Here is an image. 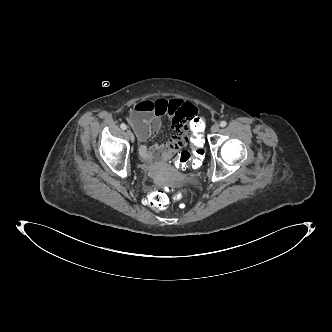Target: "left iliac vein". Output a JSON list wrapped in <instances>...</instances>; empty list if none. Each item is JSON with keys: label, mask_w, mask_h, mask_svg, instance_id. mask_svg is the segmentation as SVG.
Masks as SVG:
<instances>
[{"label": "left iliac vein", "mask_w": 332, "mask_h": 332, "mask_svg": "<svg viewBox=\"0 0 332 332\" xmlns=\"http://www.w3.org/2000/svg\"><path fill=\"white\" fill-rule=\"evenodd\" d=\"M219 129H220V125H219L218 123L213 124V126L211 127V131H212L213 133L218 132Z\"/></svg>", "instance_id": "1"}]
</instances>
